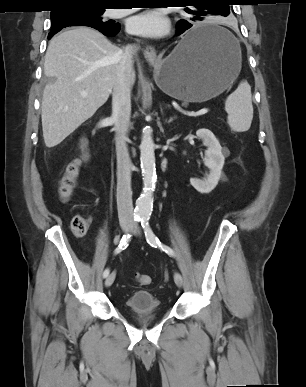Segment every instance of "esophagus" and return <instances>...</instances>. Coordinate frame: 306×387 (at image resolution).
<instances>
[{"label":"esophagus","mask_w":306,"mask_h":387,"mask_svg":"<svg viewBox=\"0 0 306 387\" xmlns=\"http://www.w3.org/2000/svg\"><path fill=\"white\" fill-rule=\"evenodd\" d=\"M143 53L149 64L154 65L158 62L159 58L157 56V52L152 45H146Z\"/></svg>","instance_id":"34e87169"}]
</instances>
